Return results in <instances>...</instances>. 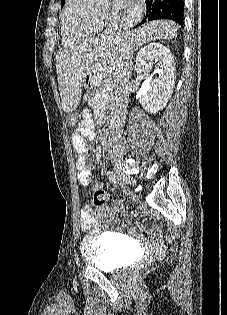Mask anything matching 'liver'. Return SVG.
<instances>
[{"mask_svg": "<svg viewBox=\"0 0 227 315\" xmlns=\"http://www.w3.org/2000/svg\"><path fill=\"white\" fill-rule=\"evenodd\" d=\"M177 30L175 22L157 20L126 34L118 33L115 38L102 36L59 52L56 55V71L64 112L71 113L79 106L87 75L111 78L122 55L129 57L131 62V55L136 48L149 41L174 39Z\"/></svg>", "mask_w": 227, "mask_h": 315, "instance_id": "obj_1", "label": "liver"}]
</instances>
